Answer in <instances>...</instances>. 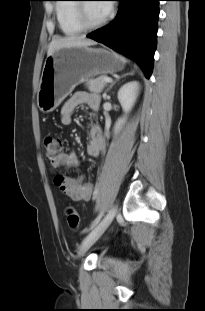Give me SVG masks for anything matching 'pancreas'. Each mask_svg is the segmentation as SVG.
<instances>
[{"label":"pancreas","mask_w":205,"mask_h":311,"mask_svg":"<svg viewBox=\"0 0 205 311\" xmlns=\"http://www.w3.org/2000/svg\"><path fill=\"white\" fill-rule=\"evenodd\" d=\"M105 77L106 76L102 75V76H99L95 79H90V80L86 81L85 85L90 92L101 93L107 84V82H105L103 80Z\"/></svg>","instance_id":"1"}]
</instances>
